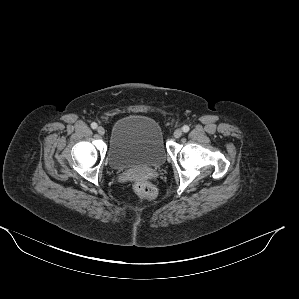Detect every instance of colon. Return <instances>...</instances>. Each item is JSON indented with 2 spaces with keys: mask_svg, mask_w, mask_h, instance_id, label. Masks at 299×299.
Returning a JSON list of instances; mask_svg holds the SVG:
<instances>
[{
  "mask_svg": "<svg viewBox=\"0 0 299 299\" xmlns=\"http://www.w3.org/2000/svg\"><path fill=\"white\" fill-rule=\"evenodd\" d=\"M134 191L142 198L151 200L157 195L156 188L146 180H138L134 184Z\"/></svg>",
  "mask_w": 299,
  "mask_h": 299,
  "instance_id": "1",
  "label": "colon"
}]
</instances>
